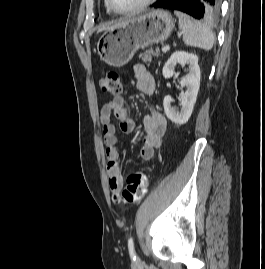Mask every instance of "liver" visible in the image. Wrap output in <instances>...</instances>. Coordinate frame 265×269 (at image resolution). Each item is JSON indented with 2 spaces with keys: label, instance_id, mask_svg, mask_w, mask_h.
Returning <instances> with one entry per match:
<instances>
[{
  "label": "liver",
  "instance_id": "liver-1",
  "mask_svg": "<svg viewBox=\"0 0 265 269\" xmlns=\"http://www.w3.org/2000/svg\"><path fill=\"white\" fill-rule=\"evenodd\" d=\"M127 20H124V21H121V22H118L112 26H103L101 28H99L98 32H101V31H106V30H113L117 27H120L122 25H124L126 23Z\"/></svg>",
  "mask_w": 265,
  "mask_h": 269
}]
</instances>
